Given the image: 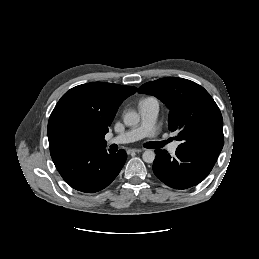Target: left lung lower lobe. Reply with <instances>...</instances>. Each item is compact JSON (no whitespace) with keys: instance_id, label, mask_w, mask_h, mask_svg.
Wrapping results in <instances>:
<instances>
[{"instance_id":"obj_1","label":"left lung lower lobe","mask_w":259,"mask_h":259,"mask_svg":"<svg viewBox=\"0 0 259 259\" xmlns=\"http://www.w3.org/2000/svg\"><path fill=\"white\" fill-rule=\"evenodd\" d=\"M153 171L158 179L175 189H187L203 181L212 170L221 150L194 147L176 150L171 157L166 150H155Z\"/></svg>"}]
</instances>
